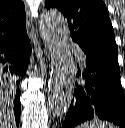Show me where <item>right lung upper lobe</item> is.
I'll use <instances>...</instances> for the list:
<instances>
[{
  "label": "right lung upper lobe",
  "mask_w": 125,
  "mask_h": 128,
  "mask_svg": "<svg viewBox=\"0 0 125 128\" xmlns=\"http://www.w3.org/2000/svg\"><path fill=\"white\" fill-rule=\"evenodd\" d=\"M26 32L22 0H0V44Z\"/></svg>",
  "instance_id": "right-lung-upper-lobe-1"
}]
</instances>
